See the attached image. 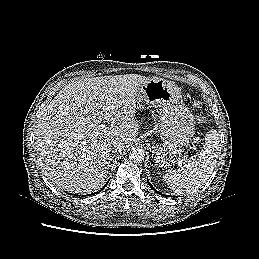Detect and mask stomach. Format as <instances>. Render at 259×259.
<instances>
[{"instance_id":"0dacf381","label":"stomach","mask_w":259,"mask_h":259,"mask_svg":"<svg viewBox=\"0 0 259 259\" xmlns=\"http://www.w3.org/2000/svg\"><path fill=\"white\" fill-rule=\"evenodd\" d=\"M137 102L145 101L159 108L160 132L163 143L152 146L155 163L169 168L182 157L194 134V118L182 101L180 88L173 82L153 78L136 93Z\"/></svg>"}]
</instances>
